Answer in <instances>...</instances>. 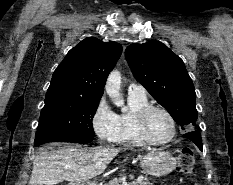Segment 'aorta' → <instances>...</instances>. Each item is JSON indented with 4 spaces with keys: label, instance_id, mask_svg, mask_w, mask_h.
Listing matches in <instances>:
<instances>
[{
    "label": "aorta",
    "instance_id": "762f6f07",
    "mask_svg": "<svg viewBox=\"0 0 233 185\" xmlns=\"http://www.w3.org/2000/svg\"><path fill=\"white\" fill-rule=\"evenodd\" d=\"M121 88V74L117 70H113L107 79L105 90L109 97L112 99L113 103L122 107V111H126L127 108L124 106V100L120 95Z\"/></svg>",
    "mask_w": 233,
    "mask_h": 185
}]
</instances>
